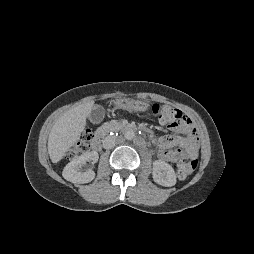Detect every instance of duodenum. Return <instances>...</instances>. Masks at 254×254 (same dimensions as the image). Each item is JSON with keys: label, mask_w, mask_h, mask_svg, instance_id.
I'll use <instances>...</instances> for the list:
<instances>
[{"label": "duodenum", "mask_w": 254, "mask_h": 254, "mask_svg": "<svg viewBox=\"0 0 254 254\" xmlns=\"http://www.w3.org/2000/svg\"><path fill=\"white\" fill-rule=\"evenodd\" d=\"M125 131H137V130H142L145 133H150V129L145 126H135V125H126L121 127ZM103 130H98L94 137L91 140V148L94 151H98L101 148V138H102Z\"/></svg>", "instance_id": "410a0bca"}]
</instances>
